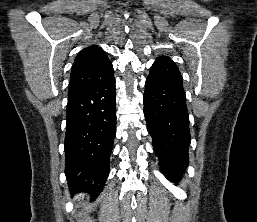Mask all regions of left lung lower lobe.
<instances>
[{
	"label": "left lung lower lobe",
	"instance_id": "0a47b994",
	"mask_svg": "<svg viewBox=\"0 0 257 222\" xmlns=\"http://www.w3.org/2000/svg\"><path fill=\"white\" fill-rule=\"evenodd\" d=\"M144 115L160 160L170 181H178L188 166L189 116L182 76L172 60L158 58L146 79Z\"/></svg>",
	"mask_w": 257,
	"mask_h": 222
}]
</instances>
